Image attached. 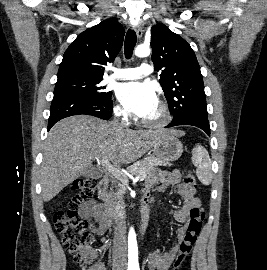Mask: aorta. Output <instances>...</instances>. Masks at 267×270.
<instances>
[{
  "instance_id": "1",
  "label": "aorta",
  "mask_w": 267,
  "mask_h": 270,
  "mask_svg": "<svg viewBox=\"0 0 267 270\" xmlns=\"http://www.w3.org/2000/svg\"><path fill=\"white\" fill-rule=\"evenodd\" d=\"M150 47L148 45H139L135 49V55L137 57H147L150 55ZM128 255H129V263L138 261V247L136 234L133 227L130 228L128 234Z\"/></svg>"
}]
</instances>
